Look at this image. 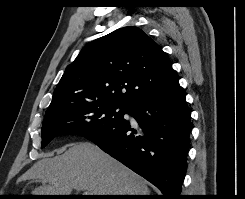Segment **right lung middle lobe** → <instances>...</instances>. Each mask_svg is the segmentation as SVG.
Wrapping results in <instances>:
<instances>
[{"label":"right lung middle lobe","instance_id":"1","mask_svg":"<svg viewBox=\"0 0 245 199\" xmlns=\"http://www.w3.org/2000/svg\"><path fill=\"white\" fill-rule=\"evenodd\" d=\"M126 108L114 103H88L72 105L45 116L41 148L61 135L75 134L92 138L122 119Z\"/></svg>","mask_w":245,"mask_h":199}]
</instances>
